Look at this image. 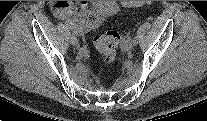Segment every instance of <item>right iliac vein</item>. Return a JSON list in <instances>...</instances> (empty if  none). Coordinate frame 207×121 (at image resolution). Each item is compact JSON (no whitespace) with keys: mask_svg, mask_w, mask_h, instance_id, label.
<instances>
[{"mask_svg":"<svg viewBox=\"0 0 207 121\" xmlns=\"http://www.w3.org/2000/svg\"><path fill=\"white\" fill-rule=\"evenodd\" d=\"M70 42H71L72 45L78 46V39H77L76 36L72 35L70 37ZM85 51L87 52V49H84V50L81 49V52H85Z\"/></svg>","mask_w":207,"mask_h":121,"instance_id":"63e3f726","label":"right iliac vein"}]
</instances>
